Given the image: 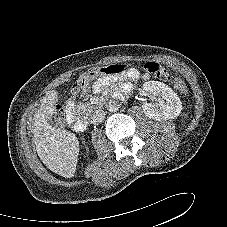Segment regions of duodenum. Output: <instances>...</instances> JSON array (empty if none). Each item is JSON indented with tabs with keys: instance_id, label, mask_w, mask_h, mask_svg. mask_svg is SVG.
Wrapping results in <instances>:
<instances>
[{
	"instance_id": "1",
	"label": "duodenum",
	"mask_w": 227,
	"mask_h": 227,
	"mask_svg": "<svg viewBox=\"0 0 227 227\" xmlns=\"http://www.w3.org/2000/svg\"><path fill=\"white\" fill-rule=\"evenodd\" d=\"M66 118L72 124V127L74 128V130L77 132H83L89 126V123L85 118L78 116L76 114V110L74 106H69L66 109Z\"/></svg>"
}]
</instances>
